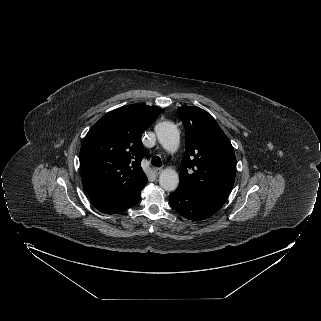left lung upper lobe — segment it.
<instances>
[{
	"label": "left lung upper lobe",
	"mask_w": 321,
	"mask_h": 321,
	"mask_svg": "<svg viewBox=\"0 0 321 321\" xmlns=\"http://www.w3.org/2000/svg\"><path fill=\"white\" fill-rule=\"evenodd\" d=\"M177 111L186 134L178 187L227 198L236 174L231 142L207 111L195 106L181 107Z\"/></svg>",
	"instance_id": "obj_1"
}]
</instances>
